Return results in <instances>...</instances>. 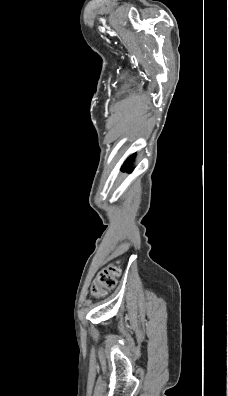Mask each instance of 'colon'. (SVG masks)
Instances as JSON below:
<instances>
[{"instance_id":"1","label":"colon","mask_w":228,"mask_h":396,"mask_svg":"<svg viewBox=\"0 0 228 396\" xmlns=\"http://www.w3.org/2000/svg\"><path fill=\"white\" fill-rule=\"evenodd\" d=\"M121 274L118 262L108 264L97 275L91 288V293L95 297H102L107 290L113 289L118 277Z\"/></svg>"}]
</instances>
